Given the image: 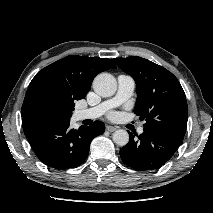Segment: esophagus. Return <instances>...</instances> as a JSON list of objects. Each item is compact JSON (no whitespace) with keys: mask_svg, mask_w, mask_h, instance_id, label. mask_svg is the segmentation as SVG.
<instances>
[{"mask_svg":"<svg viewBox=\"0 0 213 213\" xmlns=\"http://www.w3.org/2000/svg\"><path fill=\"white\" fill-rule=\"evenodd\" d=\"M106 130L109 131V132H114L115 130H117V127L116 126L107 125L106 126Z\"/></svg>","mask_w":213,"mask_h":213,"instance_id":"34e87169","label":"esophagus"}]
</instances>
